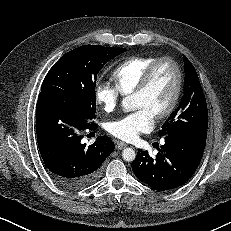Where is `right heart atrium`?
Returning a JSON list of instances; mask_svg holds the SVG:
<instances>
[{"label": "right heart atrium", "instance_id": "d8ad5b80", "mask_svg": "<svg viewBox=\"0 0 231 231\" xmlns=\"http://www.w3.org/2000/svg\"><path fill=\"white\" fill-rule=\"evenodd\" d=\"M94 97L97 104H99L104 111L111 112L118 106L121 93L116 86L102 82L96 85Z\"/></svg>", "mask_w": 231, "mask_h": 231}]
</instances>
